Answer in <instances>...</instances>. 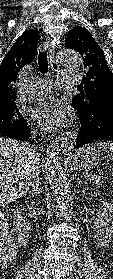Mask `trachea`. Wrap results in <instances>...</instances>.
Returning a JSON list of instances; mask_svg holds the SVG:
<instances>
[{"instance_id": "3493384b", "label": "trachea", "mask_w": 113, "mask_h": 279, "mask_svg": "<svg viewBox=\"0 0 113 279\" xmlns=\"http://www.w3.org/2000/svg\"><path fill=\"white\" fill-rule=\"evenodd\" d=\"M38 65H39V70L42 74H45L48 72V59H47L46 51H43V52L39 51Z\"/></svg>"}]
</instances>
